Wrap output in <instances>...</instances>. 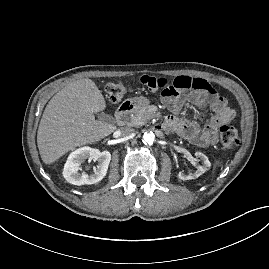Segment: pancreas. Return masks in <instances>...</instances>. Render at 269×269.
<instances>
[{"mask_svg":"<svg viewBox=\"0 0 269 269\" xmlns=\"http://www.w3.org/2000/svg\"><path fill=\"white\" fill-rule=\"evenodd\" d=\"M155 110L151 106L142 107L137 113L129 118L128 125L142 126L155 116Z\"/></svg>","mask_w":269,"mask_h":269,"instance_id":"obj_1","label":"pancreas"}]
</instances>
